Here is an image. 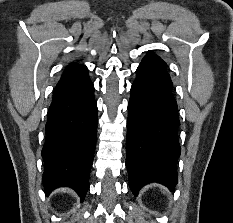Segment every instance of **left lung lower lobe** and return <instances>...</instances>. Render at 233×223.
<instances>
[{
  "label": "left lung lower lobe",
  "instance_id": "1",
  "mask_svg": "<svg viewBox=\"0 0 233 223\" xmlns=\"http://www.w3.org/2000/svg\"><path fill=\"white\" fill-rule=\"evenodd\" d=\"M128 104L126 167L135 196L142 186L157 182L171 191L177 184V103L166 63L148 53L136 71Z\"/></svg>",
  "mask_w": 233,
  "mask_h": 223
}]
</instances>
